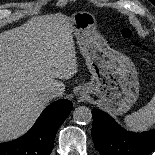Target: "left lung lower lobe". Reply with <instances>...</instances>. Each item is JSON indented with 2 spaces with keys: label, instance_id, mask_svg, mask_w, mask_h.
Segmentation results:
<instances>
[{
  "label": "left lung lower lobe",
  "instance_id": "1",
  "mask_svg": "<svg viewBox=\"0 0 155 155\" xmlns=\"http://www.w3.org/2000/svg\"><path fill=\"white\" fill-rule=\"evenodd\" d=\"M92 138L101 155H148L155 150V129L134 133L121 128L107 113L93 109Z\"/></svg>",
  "mask_w": 155,
  "mask_h": 155
}]
</instances>
